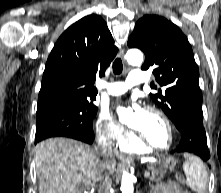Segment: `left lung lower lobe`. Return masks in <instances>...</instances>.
I'll use <instances>...</instances> for the list:
<instances>
[{
    "mask_svg": "<svg viewBox=\"0 0 221 193\" xmlns=\"http://www.w3.org/2000/svg\"><path fill=\"white\" fill-rule=\"evenodd\" d=\"M186 124L180 130L182 138L175 151L191 153L199 156L203 161H207L210 153L203 127L202 106L197 105L191 108L190 117L186 120Z\"/></svg>",
    "mask_w": 221,
    "mask_h": 193,
    "instance_id": "0a47b994",
    "label": "left lung lower lobe"
}]
</instances>
